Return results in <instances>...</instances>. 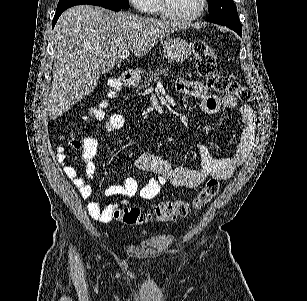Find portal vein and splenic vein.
I'll list each match as a JSON object with an SVG mask.
<instances>
[{
	"label": "portal vein and splenic vein",
	"mask_w": 307,
	"mask_h": 301,
	"mask_svg": "<svg viewBox=\"0 0 307 301\" xmlns=\"http://www.w3.org/2000/svg\"><path fill=\"white\" fill-rule=\"evenodd\" d=\"M129 54H130V50H128V48H125L122 54H120V58H128Z\"/></svg>",
	"instance_id": "portal-vein-and-splenic-vein-1"
}]
</instances>
